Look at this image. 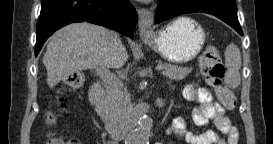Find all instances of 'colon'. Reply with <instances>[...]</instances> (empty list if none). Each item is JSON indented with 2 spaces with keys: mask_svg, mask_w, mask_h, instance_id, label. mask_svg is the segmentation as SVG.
I'll use <instances>...</instances> for the list:
<instances>
[{
  "mask_svg": "<svg viewBox=\"0 0 273 144\" xmlns=\"http://www.w3.org/2000/svg\"><path fill=\"white\" fill-rule=\"evenodd\" d=\"M199 70L208 86L215 90L219 101L228 110H232L235 107L236 100L233 93L223 84L225 68L220 53L215 47L207 48L202 54L199 60ZM84 82V73L75 72L68 78L67 85L72 90H79ZM48 119L51 120V117Z\"/></svg>",
  "mask_w": 273,
  "mask_h": 144,
  "instance_id": "obj_1",
  "label": "colon"
}]
</instances>
